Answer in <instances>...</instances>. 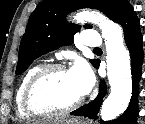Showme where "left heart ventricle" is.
Wrapping results in <instances>:
<instances>
[{"instance_id":"b2bd125f","label":"left heart ventricle","mask_w":145,"mask_h":124,"mask_svg":"<svg viewBox=\"0 0 145 124\" xmlns=\"http://www.w3.org/2000/svg\"><path fill=\"white\" fill-rule=\"evenodd\" d=\"M79 95L68 71L50 73L38 86L36 102L42 105L65 107L77 101Z\"/></svg>"}]
</instances>
